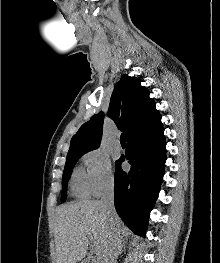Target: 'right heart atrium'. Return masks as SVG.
<instances>
[{
	"label": "right heart atrium",
	"instance_id": "right-heart-atrium-1",
	"mask_svg": "<svg viewBox=\"0 0 220 263\" xmlns=\"http://www.w3.org/2000/svg\"><path fill=\"white\" fill-rule=\"evenodd\" d=\"M82 160L86 167L91 194L99 196L113 187L115 177L107 155L94 149L85 153Z\"/></svg>",
	"mask_w": 220,
	"mask_h": 263
}]
</instances>
